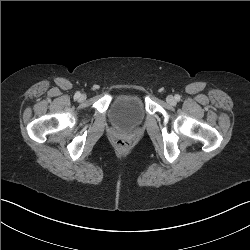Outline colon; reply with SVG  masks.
<instances>
[{
	"instance_id": "colon-1",
	"label": "colon",
	"mask_w": 250,
	"mask_h": 250,
	"mask_svg": "<svg viewBox=\"0 0 250 250\" xmlns=\"http://www.w3.org/2000/svg\"><path fill=\"white\" fill-rule=\"evenodd\" d=\"M116 145H117V147H118L119 149L125 150V149L128 148L129 143H128V141L125 140V139H119V140L116 142Z\"/></svg>"
}]
</instances>
